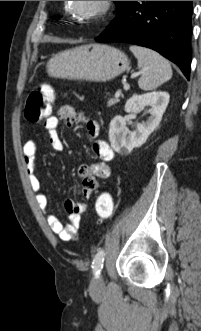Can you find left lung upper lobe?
Listing matches in <instances>:
<instances>
[{"label": "left lung upper lobe", "mask_w": 201, "mask_h": 331, "mask_svg": "<svg viewBox=\"0 0 201 331\" xmlns=\"http://www.w3.org/2000/svg\"><path fill=\"white\" fill-rule=\"evenodd\" d=\"M115 3H116V5H117V8L119 9V7H120L122 1H115Z\"/></svg>", "instance_id": "obj_1"}]
</instances>
